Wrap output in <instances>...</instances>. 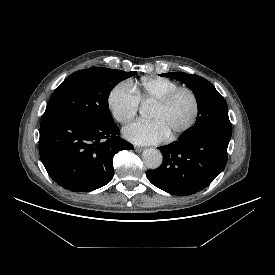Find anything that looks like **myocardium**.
Masks as SVG:
<instances>
[{"mask_svg": "<svg viewBox=\"0 0 275 275\" xmlns=\"http://www.w3.org/2000/svg\"><path fill=\"white\" fill-rule=\"evenodd\" d=\"M180 93L189 94V96L191 97L192 102H193V112H192V115H191V118L189 119V121L181 129H179L178 131H176L170 135V137L172 139L179 138L180 136H182L183 134L188 132L195 125V123L198 119L199 110H200L198 97H197L196 93L191 88L185 87V86H180V87L172 90L171 92L166 94L163 98H161L160 100H158L157 102L154 103L155 106H157L159 108H167Z\"/></svg>", "mask_w": 275, "mask_h": 275, "instance_id": "1", "label": "myocardium"}]
</instances>
